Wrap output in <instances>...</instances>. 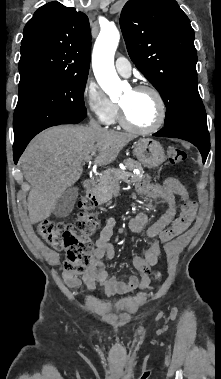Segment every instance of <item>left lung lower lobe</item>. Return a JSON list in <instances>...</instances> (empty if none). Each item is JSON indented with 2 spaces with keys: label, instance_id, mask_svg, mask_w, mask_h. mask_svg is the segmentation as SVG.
<instances>
[{
  "label": "left lung lower lobe",
  "instance_id": "obj_1",
  "mask_svg": "<svg viewBox=\"0 0 221 379\" xmlns=\"http://www.w3.org/2000/svg\"><path fill=\"white\" fill-rule=\"evenodd\" d=\"M159 137L180 138L193 143L200 151L205 163L210 150V138L207 125L187 121H177L166 125L157 133Z\"/></svg>",
  "mask_w": 221,
  "mask_h": 379
}]
</instances>
